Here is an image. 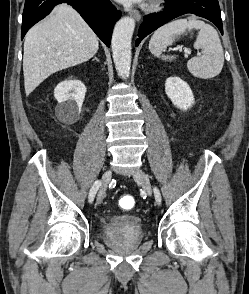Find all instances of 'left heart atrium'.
I'll return each instance as SVG.
<instances>
[{"mask_svg": "<svg viewBox=\"0 0 249 294\" xmlns=\"http://www.w3.org/2000/svg\"><path fill=\"white\" fill-rule=\"evenodd\" d=\"M123 4H131V3H141L145 0H117Z\"/></svg>", "mask_w": 249, "mask_h": 294, "instance_id": "1", "label": "left heart atrium"}]
</instances>
